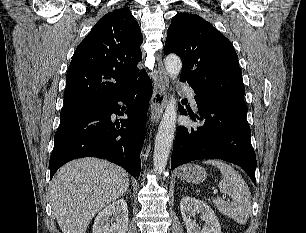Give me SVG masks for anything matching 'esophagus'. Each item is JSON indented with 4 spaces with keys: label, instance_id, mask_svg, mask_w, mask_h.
<instances>
[{
    "label": "esophagus",
    "instance_id": "1",
    "mask_svg": "<svg viewBox=\"0 0 306 233\" xmlns=\"http://www.w3.org/2000/svg\"><path fill=\"white\" fill-rule=\"evenodd\" d=\"M168 82V75L164 69L160 56L158 55V70L154 77V88L151 98L150 122L152 124H156L163 114L167 100Z\"/></svg>",
    "mask_w": 306,
    "mask_h": 233
}]
</instances>
